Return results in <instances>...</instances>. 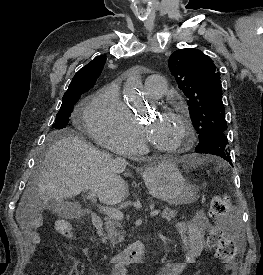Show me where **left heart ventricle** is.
Instances as JSON below:
<instances>
[{
  "label": "left heart ventricle",
  "instance_id": "1",
  "mask_svg": "<svg viewBox=\"0 0 263 275\" xmlns=\"http://www.w3.org/2000/svg\"><path fill=\"white\" fill-rule=\"evenodd\" d=\"M149 140L159 146L171 147L178 143L182 135L179 122L168 115H150L146 123Z\"/></svg>",
  "mask_w": 263,
  "mask_h": 275
}]
</instances>
